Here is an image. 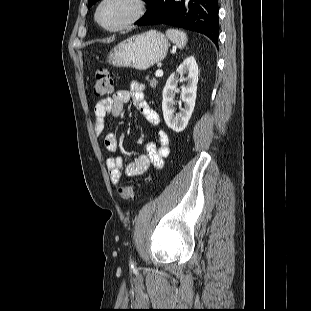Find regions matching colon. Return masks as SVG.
Segmentation results:
<instances>
[{"mask_svg":"<svg viewBox=\"0 0 311 311\" xmlns=\"http://www.w3.org/2000/svg\"><path fill=\"white\" fill-rule=\"evenodd\" d=\"M113 91V80L107 69H99L95 74L94 93L99 97L107 96ZM119 195L126 201L135 197V186L130 184L119 189Z\"/></svg>","mask_w":311,"mask_h":311,"instance_id":"colon-1","label":"colon"}]
</instances>
